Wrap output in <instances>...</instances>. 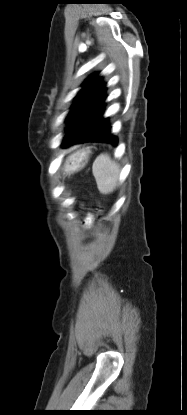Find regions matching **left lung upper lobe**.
<instances>
[{
    "instance_id": "1",
    "label": "left lung upper lobe",
    "mask_w": 187,
    "mask_h": 415,
    "mask_svg": "<svg viewBox=\"0 0 187 415\" xmlns=\"http://www.w3.org/2000/svg\"><path fill=\"white\" fill-rule=\"evenodd\" d=\"M97 73L91 75L85 82H84V86L83 88L80 90V92L77 94L76 96V100L74 102V104L72 105V110L70 111L66 121L68 122V128L69 126L72 124V122L74 121L75 117L77 116L82 103L84 102L86 96L88 95V93L90 92L91 88L93 87V85L95 84V82L98 80V78H96ZM67 128V129H68Z\"/></svg>"
}]
</instances>
